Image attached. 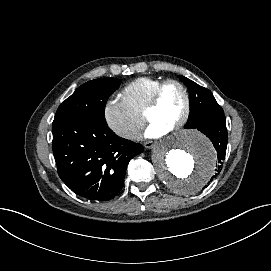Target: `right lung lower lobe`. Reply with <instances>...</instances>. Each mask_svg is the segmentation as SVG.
Returning <instances> with one entry per match:
<instances>
[{
	"label": "right lung lower lobe",
	"mask_w": 271,
	"mask_h": 271,
	"mask_svg": "<svg viewBox=\"0 0 271 271\" xmlns=\"http://www.w3.org/2000/svg\"><path fill=\"white\" fill-rule=\"evenodd\" d=\"M143 146L118 137L106 122L75 118L53 126V154L61 180L77 195L108 201L122 189L129 161Z\"/></svg>",
	"instance_id": "1"
}]
</instances>
